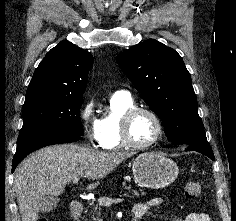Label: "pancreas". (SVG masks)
I'll use <instances>...</instances> for the list:
<instances>
[{"label":"pancreas","instance_id":"cf45deb5","mask_svg":"<svg viewBox=\"0 0 236 221\" xmlns=\"http://www.w3.org/2000/svg\"><path fill=\"white\" fill-rule=\"evenodd\" d=\"M133 192L136 196H139V193L137 190H134ZM140 192H142V190H140ZM89 218L92 219V221H103L102 208L100 205L97 204V205L92 206V210L90 211Z\"/></svg>","mask_w":236,"mask_h":221}]
</instances>
